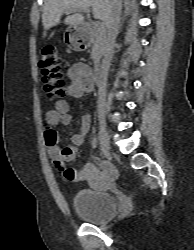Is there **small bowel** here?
<instances>
[{
    "mask_svg": "<svg viewBox=\"0 0 194 250\" xmlns=\"http://www.w3.org/2000/svg\"><path fill=\"white\" fill-rule=\"evenodd\" d=\"M68 78L70 82L65 87V93L70 97L79 98L93 89L91 69L85 63L74 64L68 70ZM72 120L73 116L66 100L57 101L55 108L47 112L44 140L48 155L64 179L75 183L85 181L94 183L98 177V171L92 163H86L81 169H72L65 166V163L75 159L78 148L84 143L91 125L90 116L88 114L81 115L79 132L72 136L71 144L61 147L58 144L57 127L59 125L67 126L71 124ZM103 173L107 179H113L116 176V170L111 164L103 166Z\"/></svg>",
    "mask_w": 194,
    "mask_h": 250,
    "instance_id": "obj_1",
    "label": "small bowel"
}]
</instances>
